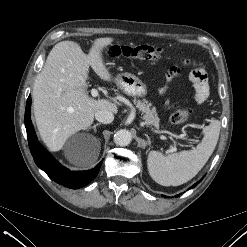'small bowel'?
Segmentation results:
<instances>
[{"label": "small bowel", "instance_id": "c3829d8e", "mask_svg": "<svg viewBox=\"0 0 247 247\" xmlns=\"http://www.w3.org/2000/svg\"><path fill=\"white\" fill-rule=\"evenodd\" d=\"M175 75V71L172 73ZM190 80L194 87V99L197 103L204 102L209 95V85L203 68H195L190 73Z\"/></svg>", "mask_w": 247, "mask_h": 247}]
</instances>
